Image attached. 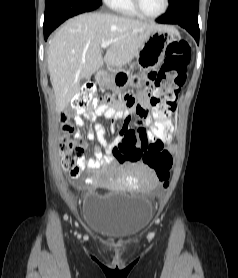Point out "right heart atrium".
<instances>
[{"instance_id":"right-heart-atrium-1","label":"right heart atrium","mask_w":238,"mask_h":278,"mask_svg":"<svg viewBox=\"0 0 238 278\" xmlns=\"http://www.w3.org/2000/svg\"><path fill=\"white\" fill-rule=\"evenodd\" d=\"M108 6H112L115 0H103Z\"/></svg>"}]
</instances>
